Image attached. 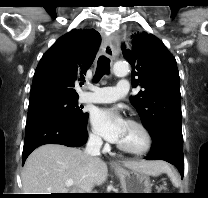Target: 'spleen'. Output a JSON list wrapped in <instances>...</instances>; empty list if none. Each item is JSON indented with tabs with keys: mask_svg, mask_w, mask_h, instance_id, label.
Segmentation results:
<instances>
[{
	"mask_svg": "<svg viewBox=\"0 0 208 198\" xmlns=\"http://www.w3.org/2000/svg\"><path fill=\"white\" fill-rule=\"evenodd\" d=\"M164 171L167 173V175L170 177L171 182L175 187L180 186V180L176 174L175 171H173L168 165L165 164Z\"/></svg>",
	"mask_w": 208,
	"mask_h": 198,
	"instance_id": "obj_1",
	"label": "spleen"
}]
</instances>
